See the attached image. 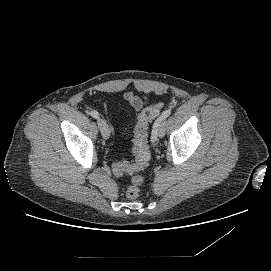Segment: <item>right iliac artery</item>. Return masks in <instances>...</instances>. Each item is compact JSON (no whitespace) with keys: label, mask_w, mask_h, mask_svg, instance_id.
Listing matches in <instances>:
<instances>
[{"label":"right iliac artery","mask_w":271,"mask_h":271,"mask_svg":"<svg viewBox=\"0 0 271 271\" xmlns=\"http://www.w3.org/2000/svg\"><path fill=\"white\" fill-rule=\"evenodd\" d=\"M90 114H91V116H92L93 118H96V119L99 118V114H98V112L95 111V110L91 111Z\"/></svg>","instance_id":"obj_1"}]
</instances>
